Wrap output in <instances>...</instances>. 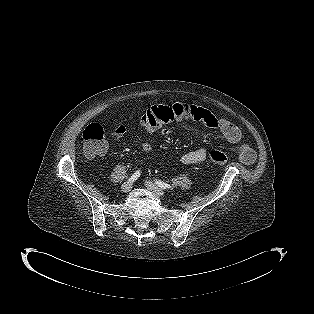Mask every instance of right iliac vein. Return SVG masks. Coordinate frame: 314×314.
Listing matches in <instances>:
<instances>
[{
	"mask_svg": "<svg viewBox=\"0 0 314 314\" xmlns=\"http://www.w3.org/2000/svg\"><path fill=\"white\" fill-rule=\"evenodd\" d=\"M132 188V182L128 181L122 184L121 186V191L122 192H128L130 191Z\"/></svg>",
	"mask_w": 314,
	"mask_h": 314,
	"instance_id": "1",
	"label": "right iliac vein"
}]
</instances>
